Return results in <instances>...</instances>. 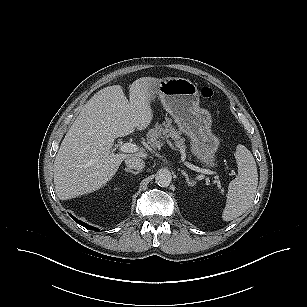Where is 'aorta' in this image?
I'll list each match as a JSON object with an SVG mask.
<instances>
[{
    "label": "aorta",
    "instance_id": "obj_1",
    "mask_svg": "<svg viewBox=\"0 0 307 307\" xmlns=\"http://www.w3.org/2000/svg\"><path fill=\"white\" fill-rule=\"evenodd\" d=\"M171 181H172V175L168 169L162 168L157 172L155 177V182L160 187H168Z\"/></svg>",
    "mask_w": 307,
    "mask_h": 307
}]
</instances>
